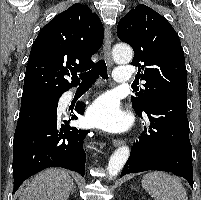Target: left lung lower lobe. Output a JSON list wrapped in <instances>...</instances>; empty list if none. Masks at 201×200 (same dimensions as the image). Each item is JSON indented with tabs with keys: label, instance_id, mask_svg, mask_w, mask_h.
Here are the masks:
<instances>
[{
	"label": "left lung lower lobe",
	"instance_id": "1",
	"mask_svg": "<svg viewBox=\"0 0 201 200\" xmlns=\"http://www.w3.org/2000/svg\"><path fill=\"white\" fill-rule=\"evenodd\" d=\"M143 111L150 121L151 130L143 132L133 145L121 177L147 170L166 171L185 178L193 188L187 96H157L148 102ZM137 113L142 116V111Z\"/></svg>",
	"mask_w": 201,
	"mask_h": 200
}]
</instances>
